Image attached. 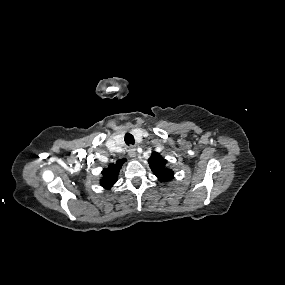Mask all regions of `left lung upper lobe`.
I'll return each instance as SVG.
<instances>
[{
  "mask_svg": "<svg viewBox=\"0 0 285 285\" xmlns=\"http://www.w3.org/2000/svg\"><path fill=\"white\" fill-rule=\"evenodd\" d=\"M149 164L153 173L161 182H167L173 179L174 172L167 168V161L163 159L158 153H152L149 158Z\"/></svg>",
  "mask_w": 285,
  "mask_h": 285,
  "instance_id": "left-lung-upper-lobe-1",
  "label": "left lung upper lobe"
}]
</instances>
